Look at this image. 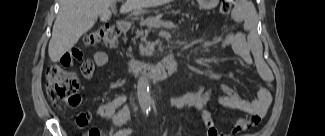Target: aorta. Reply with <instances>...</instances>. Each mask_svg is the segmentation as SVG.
I'll return each mask as SVG.
<instances>
[{
    "label": "aorta",
    "instance_id": "aorta-1",
    "mask_svg": "<svg viewBox=\"0 0 325 136\" xmlns=\"http://www.w3.org/2000/svg\"><path fill=\"white\" fill-rule=\"evenodd\" d=\"M137 94L141 109L146 112L150 111L152 107V100L147 77L142 76L139 78L137 84Z\"/></svg>",
    "mask_w": 325,
    "mask_h": 136
}]
</instances>
